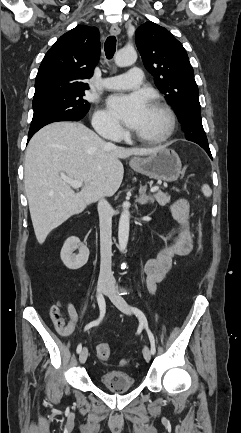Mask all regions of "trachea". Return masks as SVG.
<instances>
[{
	"label": "trachea",
	"instance_id": "1",
	"mask_svg": "<svg viewBox=\"0 0 241 433\" xmlns=\"http://www.w3.org/2000/svg\"><path fill=\"white\" fill-rule=\"evenodd\" d=\"M105 55L107 59H111L116 51V37L109 36L104 44Z\"/></svg>",
	"mask_w": 241,
	"mask_h": 433
}]
</instances>
